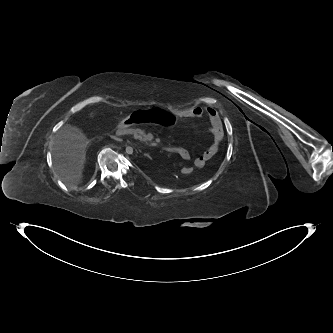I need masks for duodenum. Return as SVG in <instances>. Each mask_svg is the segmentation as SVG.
Here are the masks:
<instances>
[{"label": "duodenum", "instance_id": "obj_1", "mask_svg": "<svg viewBox=\"0 0 333 333\" xmlns=\"http://www.w3.org/2000/svg\"><path fill=\"white\" fill-rule=\"evenodd\" d=\"M133 133H134V130L130 129V128L120 129V130L117 131L118 135H121V134L132 135Z\"/></svg>", "mask_w": 333, "mask_h": 333}]
</instances>
